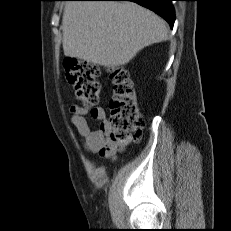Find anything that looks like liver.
Returning <instances> with one entry per match:
<instances>
[{
    "label": "liver",
    "mask_w": 231,
    "mask_h": 231,
    "mask_svg": "<svg viewBox=\"0 0 231 231\" xmlns=\"http://www.w3.org/2000/svg\"><path fill=\"white\" fill-rule=\"evenodd\" d=\"M62 30L66 56L112 69L169 37L162 18L132 2L70 1Z\"/></svg>",
    "instance_id": "liver-1"
}]
</instances>
